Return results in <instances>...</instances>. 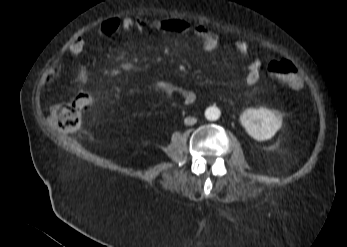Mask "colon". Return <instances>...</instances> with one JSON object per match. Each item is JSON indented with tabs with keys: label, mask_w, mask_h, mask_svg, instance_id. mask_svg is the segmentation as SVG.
<instances>
[{
	"label": "colon",
	"mask_w": 347,
	"mask_h": 247,
	"mask_svg": "<svg viewBox=\"0 0 347 247\" xmlns=\"http://www.w3.org/2000/svg\"><path fill=\"white\" fill-rule=\"evenodd\" d=\"M268 69L279 83L291 88L300 85L298 70L290 60L271 61ZM96 104V96L91 91L83 90L75 96L74 100L54 106L50 111V118L60 130L73 131L79 127L82 113L91 112Z\"/></svg>",
	"instance_id": "1"
}]
</instances>
